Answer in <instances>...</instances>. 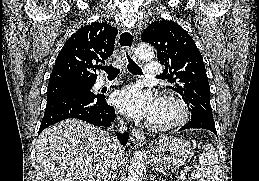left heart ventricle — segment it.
I'll return each mask as SVG.
<instances>
[{
	"mask_svg": "<svg viewBox=\"0 0 259 181\" xmlns=\"http://www.w3.org/2000/svg\"><path fill=\"white\" fill-rule=\"evenodd\" d=\"M174 111L169 107L159 103L158 110L151 121L165 122L173 118Z\"/></svg>",
	"mask_w": 259,
	"mask_h": 181,
	"instance_id": "obj_1",
	"label": "left heart ventricle"
}]
</instances>
